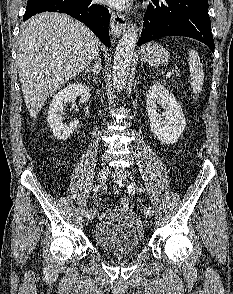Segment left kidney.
<instances>
[{"mask_svg": "<svg viewBox=\"0 0 233 294\" xmlns=\"http://www.w3.org/2000/svg\"><path fill=\"white\" fill-rule=\"evenodd\" d=\"M161 106L165 112H157ZM146 110L151 131L164 144H174L183 132L186 121L181 106L163 85L155 83L147 93Z\"/></svg>", "mask_w": 233, "mask_h": 294, "instance_id": "5707ae66", "label": "left kidney"}]
</instances>
